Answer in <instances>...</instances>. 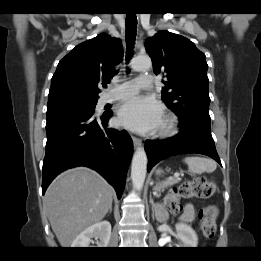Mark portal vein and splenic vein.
<instances>
[{
	"mask_svg": "<svg viewBox=\"0 0 261 261\" xmlns=\"http://www.w3.org/2000/svg\"><path fill=\"white\" fill-rule=\"evenodd\" d=\"M179 176H180L179 173H175V174H174V178H173L172 180H173V181L179 180Z\"/></svg>",
	"mask_w": 261,
	"mask_h": 261,
	"instance_id": "obj_1",
	"label": "portal vein and splenic vein"
}]
</instances>
